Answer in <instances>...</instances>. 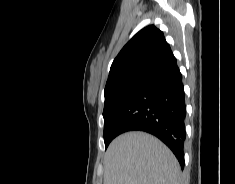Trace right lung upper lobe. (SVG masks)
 Masks as SVG:
<instances>
[{
	"label": "right lung upper lobe",
	"mask_w": 235,
	"mask_h": 184,
	"mask_svg": "<svg viewBox=\"0 0 235 184\" xmlns=\"http://www.w3.org/2000/svg\"><path fill=\"white\" fill-rule=\"evenodd\" d=\"M172 54L162 31L154 25L143 28L128 41L114 59L105 93L119 87L130 78H143Z\"/></svg>",
	"instance_id": "cb5924a9"
}]
</instances>
